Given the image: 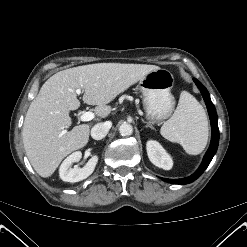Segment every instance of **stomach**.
Here are the masks:
<instances>
[{
    "mask_svg": "<svg viewBox=\"0 0 247 247\" xmlns=\"http://www.w3.org/2000/svg\"><path fill=\"white\" fill-rule=\"evenodd\" d=\"M174 84L172 73L159 68L146 74L138 84L143 95V106L147 119L153 124H161L174 111L175 99L171 94Z\"/></svg>",
    "mask_w": 247,
    "mask_h": 247,
    "instance_id": "1",
    "label": "stomach"
}]
</instances>
